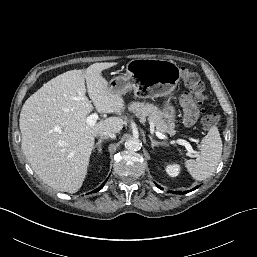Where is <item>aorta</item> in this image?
Wrapping results in <instances>:
<instances>
[{
	"label": "aorta",
	"mask_w": 257,
	"mask_h": 257,
	"mask_svg": "<svg viewBox=\"0 0 257 257\" xmlns=\"http://www.w3.org/2000/svg\"><path fill=\"white\" fill-rule=\"evenodd\" d=\"M141 141L139 139H129L125 142V148L128 150H139L141 148Z\"/></svg>",
	"instance_id": "1"
}]
</instances>
